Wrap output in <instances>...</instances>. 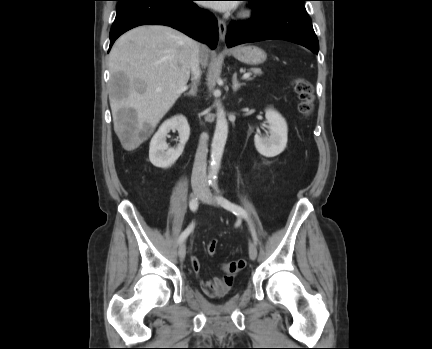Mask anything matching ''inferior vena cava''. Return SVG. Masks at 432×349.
Returning a JSON list of instances; mask_svg holds the SVG:
<instances>
[{"label": "inferior vena cava", "mask_w": 432, "mask_h": 349, "mask_svg": "<svg viewBox=\"0 0 432 349\" xmlns=\"http://www.w3.org/2000/svg\"><path fill=\"white\" fill-rule=\"evenodd\" d=\"M191 73L194 80L198 81L201 76L199 44L194 41V47L191 55ZM208 135L202 134L199 140V145L195 155V161L192 170L191 183L192 185H207V147Z\"/></svg>", "instance_id": "inferior-vena-cava-1"}]
</instances>
